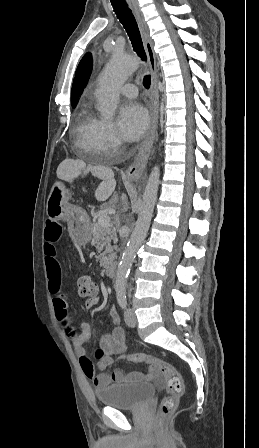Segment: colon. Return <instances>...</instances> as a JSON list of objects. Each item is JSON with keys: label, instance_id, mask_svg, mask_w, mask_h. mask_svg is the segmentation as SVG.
I'll use <instances>...</instances> for the list:
<instances>
[{"label": "colon", "instance_id": "1", "mask_svg": "<svg viewBox=\"0 0 259 448\" xmlns=\"http://www.w3.org/2000/svg\"><path fill=\"white\" fill-rule=\"evenodd\" d=\"M97 291V283L91 276L83 274L78 277L77 292L81 298L94 296L97 294ZM104 356L105 352L103 349L100 348L96 351V357L99 360L104 358ZM120 359L153 364L158 367L160 372L166 378L169 395L162 401L157 416V429L162 430L169 416L176 410L179 400L184 393V383L180 373L170 363L153 355L137 353L121 355Z\"/></svg>", "mask_w": 259, "mask_h": 448}]
</instances>
